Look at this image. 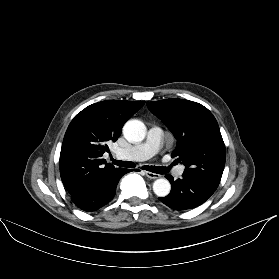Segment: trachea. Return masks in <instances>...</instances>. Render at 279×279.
<instances>
[{
  "label": "trachea",
  "mask_w": 279,
  "mask_h": 279,
  "mask_svg": "<svg viewBox=\"0 0 279 279\" xmlns=\"http://www.w3.org/2000/svg\"><path fill=\"white\" fill-rule=\"evenodd\" d=\"M112 163L119 166V167H126V168H134L136 165L133 162H127V161H118L115 159H111ZM143 170H147L153 173L157 174H165L169 172L170 167H160V166H148L145 165L142 167Z\"/></svg>",
  "instance_id": "1"
}]
</instances>
